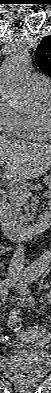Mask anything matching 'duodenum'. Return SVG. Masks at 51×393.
Instances as JSON below:
<instances>
[{"label": "duodenum", "mask_w": 51, "mask_h": 393, "mask_svg": "<svg viewBox=\"0 0 51 393\" xmlns=\"http://www.w3.org/2000/svg\"><path fill=\"white\" fill-rule=\"evenodd\" d=\"M0 224L5 236L13 240H22L33 237L35 234L45 231L50 224V213L45 212L43 217L36 222L24 226L16 225L6 212V198L0 195Z\"/></svg>", "instance_id": "duodenum-1"}]
</instances>
